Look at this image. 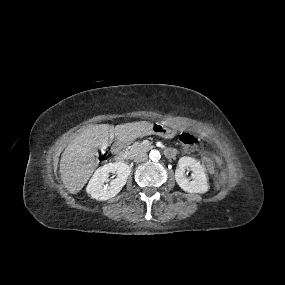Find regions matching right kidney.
<instances>
[{"instance_id":"ca27d5eb","label":"right kidney","mask_w":285,"mask_h":285,"mask_svg":"<svg viewBox=\"0 0 285 285\" xmlns=\"http://www.w3.org/2000/svg\"><path fill=\"white\" fill-rule=\"evenodd\" d=\"M110 173L117 174V177L108 184ZM130 173V167L124 162L105 164L95 171L87 185L86 192L96 200L105 201L111 199L126 184Z\"/></svg>"}]
</instances>
